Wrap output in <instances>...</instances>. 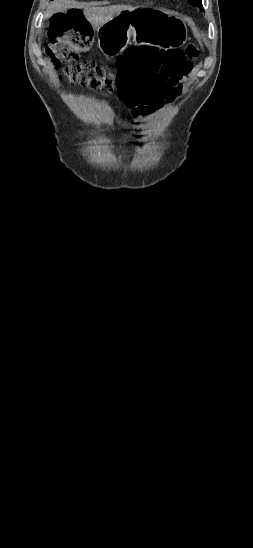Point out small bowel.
I'll return each mask as SVG.
<instances>
[{
    "label": "small bowel",
    "instance_id": "obj_1",
    "mask_svg": "<svg viewBox=\"0 0 253 548\" xmlns=\"http://www.w3.org/2000/svg\"><path fill=\"white\" fill-rule=\"evenodd\" d=\"M154 60H160L158 58L154 59ZM170 97V96H169ZM125 101V99H124ZM126 103V102H125ZM130 108H132L133 105H128ZM158 107V110L161 109L163 107V105H156Z\"/></svg>",
    "mask_w": 253,
    "mask_h": 548
}]
</instances>
